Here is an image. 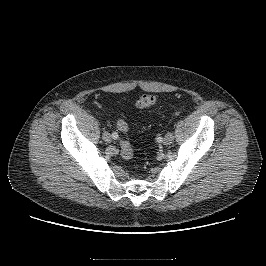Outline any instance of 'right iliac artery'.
I'll return each mask as SVG.
<instances>
[{
  "mask_svg": "<svg viewBox=\"0 0 266 266\" xmlns=\"http://www.w3.org/2000/svg\"><path fill=\"white\" fill-rule=\"evenodd\" d=\"M117 137H118V134H117L116 132H113V133H112V138H113V139H117Z\"/></svg>",
  "mask_w": 266,
  "mask_h": 266,
  "instance_id": "right-iliac-artery-1",
  "label": "right iliac artery"
}]
</instances>
